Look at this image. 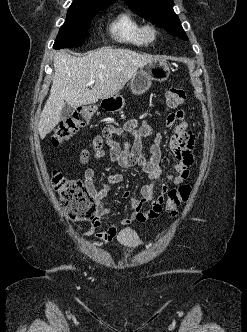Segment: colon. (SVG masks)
<instances>
[{
	"label": "colon",
	"instance_id": "5ec220e1",
	"mask_svg": "<svg viewBox=\"0 0 247 332\" xmlns=\"http://www.w3.org/2000/svg\"><path fill=\"white\" fill-rule=\"evenodd\" d=\"M185 100L186 92L182 88L171 87L165 92L166 106L169 109H176ZM94 112L95 108L87 105L79 108L73 115L67 117L55 128L51 137L52 145L58 147L68 141L88 123ZM52 182L59 199L64 204L66 212L72 220L95 218V202L81 180L70 178L58 171H54L52 173ZM190 194L191 187L188 185H181L168 191L165 207L171 216L177 214V208L188 201Z\"/></svg>",
	"mask_w": 247,
	"mask_h": 332
}]
</instances>
